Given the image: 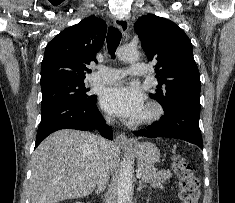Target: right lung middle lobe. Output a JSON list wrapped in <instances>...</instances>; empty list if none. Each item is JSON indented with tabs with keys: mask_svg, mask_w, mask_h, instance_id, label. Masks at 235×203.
<instances>
[{
	"mask_svg": "<svg viewBox=\"0 0 235 203\" xmlns=\"http://www.w3.org/2000/svg\"><path fill=\"white\" fill-rule=\"evenodd\" d=\"M42 105L41 109L64 100L88 101L94 95L87 94L84 80L58 81L41 85Z\"/></svg>",
	"mask_w": 235,
	"mask_h": 203,
	"instance_id": "right-lung-middle-lobe-1",
	"label": "right lung middle lobe"
}]
</instances>
